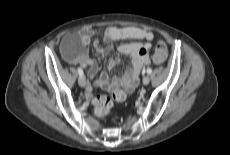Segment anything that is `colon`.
<instances>
[{"label": "colon", "instance_id": "1", "mask_svg": "<svg viewBox=\"0 0 230 155\" xmlns=\"http://www.w3.org/2000/svg\"><path fill=\"white\" fill-rule=\"evenodd\" d=\"M72 47L75 48L77 52L81 50V41L80 39H75L72 41L71 44ZM167 57V47L165 42L159 41L154 45L153 48V60L155 63L160 64L165 61ZM114 101L118 102V98L116 94H112V96H106V95H98L94 99V112L98 117L104 118L106 117L112 107Z\"/></svg>", "mask_w": 230, "mask_h": 155}]
</instances>
